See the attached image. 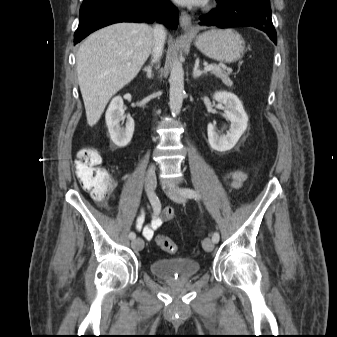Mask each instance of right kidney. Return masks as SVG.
<instances>
[{
    "instance_id": "1",
    "label": "right kidney",
    "mask_w": 337,
    "mask_h": 337,
    "mask_svg": "<svg viewBox=\"0 0 337 337\" xmlns=\"http://www.w3.org/2000/svg\"><path fill=\"white\" fill-rule=\"evenodd\" d=\"M125 118L122 97H114L106 111L105 119L112 142L120 148L128 145L134 132V120L131 117H127L125 128L120 125Z\"/></svg>"
}]
</instances>
